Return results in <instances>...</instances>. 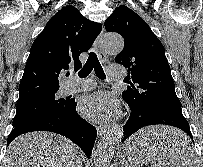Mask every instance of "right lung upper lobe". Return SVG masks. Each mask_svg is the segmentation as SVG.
<instances>
[{
	"label": "right lung upper lobe",
	"instance_id": "obj_1",
	"mask_svg": "<svg viewBox=\"0 0 203 167\" xmlns=\"http://www.w3.org/2000/svg\"><path fill=\"white\" fill-rule=\"evenodd\" d=\"M101 29L73 6L58 11L31 46L17 105L58 91L62 71L82 66L79 55L91 48Z\"/></svg>",
	"mask_w": 203,
	"mask_h": 167
}]
</instances>
